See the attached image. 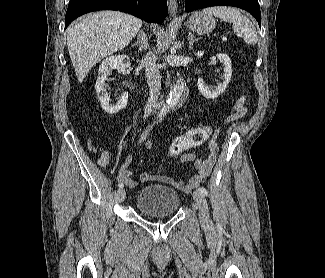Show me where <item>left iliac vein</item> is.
Listing matches in <instances>:
<instances>
[{"mask_svg":"<svg viewBox=\"0 0 325 278\" xmlns=\"http://www.w3.org/2000/svg\"><path fill=\"white\" fill-rule=\"evenodd\" d=\"M193 199L198 205L199 209V219L201 223L205 224L209 222V210H208V204L206 201L205 196L200 192H194L193 193Z\"/></svg>","mask_w":325,"mask_h":278,"instance_id":"1","label":"left iliac vein"}]
</instances>
